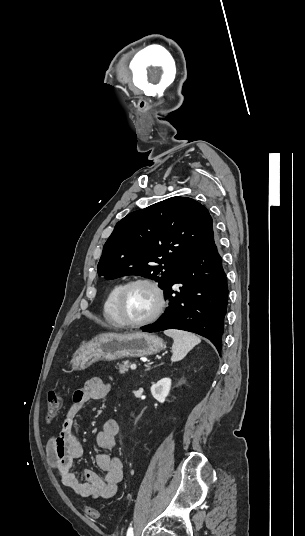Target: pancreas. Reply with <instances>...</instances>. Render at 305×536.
<instances>
[{
  "instance_id": "cf45deb5",
  "label": "pancreas",
  "mask_w": 305,
  "mask_h": 536,
  "mask_svg": "<svg viewBox=\"0 0 305 536\" xmlns=\"http://www.w3.org/2000/svg\"><path fill=\"white\" fill-rule=\"evenodd\" d=\"M119 368V374H125L129 370V362H123V364H117Z\"/></svg>"
}]
</instances>
